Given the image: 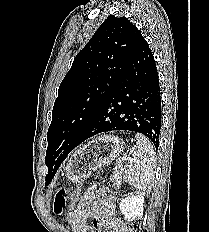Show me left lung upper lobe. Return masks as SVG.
<instances>
[{"label":"left lung upper lobe","mask_w":209,"mask_h":232,"mask_svg":"<svg viewBox=\"0 0 209 232\" xmlns=\"http://www.w3.org/2000/svg\"><path fill=\"white\" fill-rule=\"evenodd\" d=\"M141 37L127 18L110 15L75 57L59 86L47 133V184L117 85Z\"/></svg>","instance_id":"left-lung-upper-lobe-1"}]
</instances>
